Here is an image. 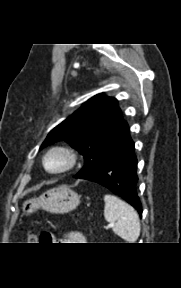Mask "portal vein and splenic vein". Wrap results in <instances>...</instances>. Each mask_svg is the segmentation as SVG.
<instances>
[{"label": "portal vein and splenic vein", "instance_id": "obj_1", "mask_svg": "<svg viewBox=\"0 0 181 288\" xmlns=\"http://www.w3.org/2000/svg\"><path fill=\"white\" fill-rule=\"evenodd\" d=\"M111 227H113L112 223L108 224L106 228H111Z\"/></svg>", "mask_w": 181, "mask_h": 288}]
</instances>
